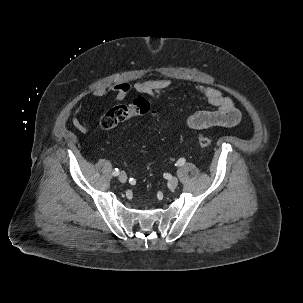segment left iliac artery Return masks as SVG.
I'll use <instances>...</instances> for the list:
<instances>
[{"mask_svg": "<svg viewBox=\"0 0 303 303\" xmlns=\"http://www.w3.org/2000/svg\"><path fill=\"white\" fill-rule=\"evenodd\" d=\"M186 162V160L184 158H180L177 162H176V166H182L184 165Z\"/></svg>", "mask_w": 303, "mask_h": 303, "instance_id": "obj_1", "label": "left iliac artery"}]
</instances>
